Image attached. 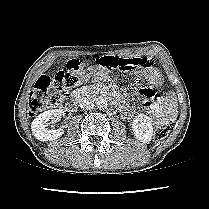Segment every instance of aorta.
I'll return each mask as SVG.
<instances>
[{"label":"aorta","instance_id":"1","mask_svg":"<svg viewBox=\"0 0 209 209\" xmlns=\"http://www.w3.org/2000/svg\"><path fill=\"white\" fill-rule=\"evenodd\" d=\"M96 105L100 109H105L108 107V100L104 97H98L96 99Z\"/></svg>","mask_w":209,"mask_h":209}]
</instances>
